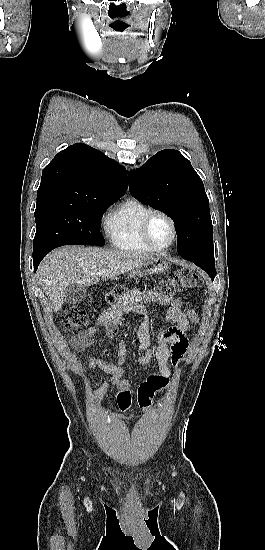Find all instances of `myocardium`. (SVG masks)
<instances>
[{
    "label": "myocardium",
    "instance_id": "f54148a6",
    "mask_svg": "<svg viewBox=\"0 0 265 550\" xmlns=\"http://www.w3.org/2000/svg\"><path fill=\"white\" fill-rule=\"evenodd\" d=\"M162 216L163 218H165L170 226H171V230H172V240L171 242L166 245V246H158L154 243V241L152 240L151 236H150V233H149V225H150V222L152 220V218L154 216ZM177 226H176V223L174 221V219L166 212L162 211V210H159V209H151L142 219V222H141V235H142V238L143 240L145 241V243L152 249V250H155V251H166V250H169L171 247H173V245L175 244L176 240H177Z\"/></svg>",
    "mask_w": 265,
    "mask_h": 550
}]
</instances>
